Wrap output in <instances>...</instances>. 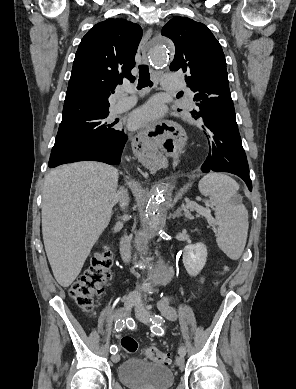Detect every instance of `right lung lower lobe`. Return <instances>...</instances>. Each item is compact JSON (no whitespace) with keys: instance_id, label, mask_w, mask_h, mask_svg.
Segmentation results:
<instances>
[{"instance_id":"right-lung-lower-lobe-1","label":"right lung lower lobe","mask_w":296,"mask_h":389,"mask_svg":"<svg viewBox=\"0 0 296 389\" xmlns=\"http://www.w3.org/2000/svg\"><path fill=\"white\" fill-rule=\"evenodd\" d=\"M127 139V135L120 131L117 136L112 138H103L77 147L52 152L49 167L53 168L61 164L85 160L117 165L120 163Z\"/></svg>"}]
</instances>
